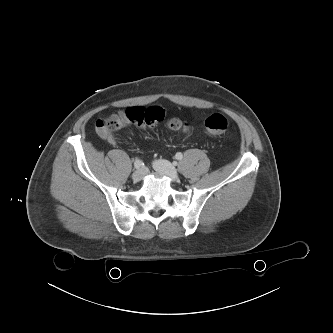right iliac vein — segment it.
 Here are the masks:
<instances>
[{
	"label": "right iliac vein",
	"instance_id": "obj_1",
	"mask_svg": "<svg viewBox=\"0 0 333 333\" xmlns=\"http://www.w3.org/2000/svg\"><path fill=\"white\" fill-rule=\"evenodd\" d=\"M145 175L144 169H138L132 174V179L134 182H139Z\"/></svg>",
	"mask_w": 333,
	"mask_h": 333
}]
</instances>
